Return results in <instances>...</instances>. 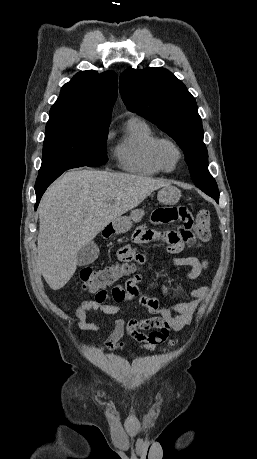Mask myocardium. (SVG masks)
Masks as SVG:
<instances>
[{
  "mask_svg": "<svg viewBox=\"0 0 257 459\" xmlns=\"http://www.w3.org/2000/svg\"><path fill=\"white\" fill-rule=\"evenodd\" d=\"M164 144H168V145L172 146L175 149L176 153H177V160H176V163H175V165L173 167L166 166V164L164 163V161H163V159L161 157V147ZM152 156H153V159L156 162V164L163 171H165V172H173L178 168L179 164L182 161L183 151L180 148V146L174 140H172L170 138L160 137L153 144Z\"/></svg>",
  "mask_w": 257,
  "mask_h": 459,
  "instance_id": "myocardium-1",
  "label": "myocardium"
}]
</instances>
